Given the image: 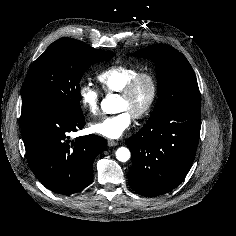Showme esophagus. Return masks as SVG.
Listing matches in <instances>:
<instances>
[{"label":"esophagus","instance_id":"obj_1","mask_svg":"<svg viewBox=\"0 0 236 236\" xmlns=\"http://www.w3.org/2000/svg\"><path fill=\"white\" fill-rule=\"evenodd\" d=\"M108 146L109 147H113V146H116V145H118V142L117 141H115V140H108Z\"/></svg>","mask_w":236,"mask_h":236}]
</instances>
